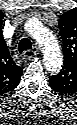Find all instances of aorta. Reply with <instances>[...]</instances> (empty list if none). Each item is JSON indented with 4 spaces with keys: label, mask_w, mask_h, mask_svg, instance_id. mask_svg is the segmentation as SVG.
Instances as JSON below:
<instances>
[{
    "label": "aorta",
    "mask_w": 77,
    "mask_h": 125,
    "mask_svg": "<svg viewBox=\"0 0 77 125\" xmlns=\"http://www.w3.org/2000/svg\"><path fill=\"white\" fill-rule=\"evenodd\" d=\"M35 39L45 54V67L50 71L60 69L62 64L61 51L56 37L43 27L38 28L34 34Z\"/></svg>",
    "instance_id": "obj_1"
}]
</instances>
